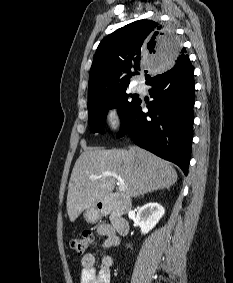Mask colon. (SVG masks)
I'll use <instances>...</instances> for the list:
<instances>
[{
	"label": "colon",
	"instance_id": "5ec220e1",
	"mask_svg": "<svg viewBox=\"0 0 233 283\" xmlns=\"http://www.w3.org/2000/svg\"><path fill=\"white\" fill-rule=\"evenodd\" d=\"M94 235L91 230L84 231L80 236L70 241V248L77 253H84L93 242Z\"/></svg>",
	"mask_w": 233,
	"mask_h": 283
}]
</instances>
